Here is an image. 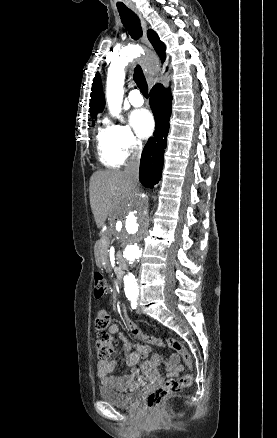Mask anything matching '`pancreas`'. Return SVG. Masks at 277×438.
I'll list each match as a JSON object with an SVG mask.
<instances>
[{
  "label": "pancreas",
  "mask_w": 277,
  "mask_h": 438,
  "mask_svg": "<svg viewBox=\"0 0 277 438\" xmlns=\"http://www.w3.org/2000/svg\"><path fill=\"white\" fill-rule=\"evenodd\" d=\"M112 239V232L111 231H102L101 232V239H96L95 246L97 248L98 253H109L110 251V241ZM109 258L112 256L110 253L107 255ZM108 265H110L112 262L108 260L106 262Z\"/></svg>",
  "instance_id": "cf45deb5"
}]
</instances>
